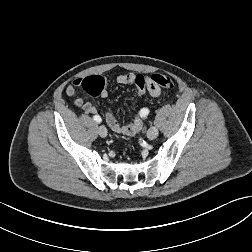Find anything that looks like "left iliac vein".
I'll return each instance as SVG.
<instances>
[{
    "instance_id": "1",
    "label": "left iliac vein",
    "mask_w": 252,
    "mask_h": 252,
    "mask_svg": "<svg viewBox=\"0 0 252 252\" xmlns=\"http://www.w3.org/2000/svg\"><path fill=\"white\" fill-rule=\"evenodd\" d=\"M158 136V129L156 127H151L147 131V138L149 140H154Z\"/></svg>"
}]
</instances>
